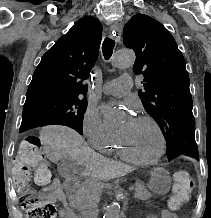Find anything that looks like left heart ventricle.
Listing matches in <instances>:
<instances>
[{
	"label": "left heart ventricle",
	"mask_w": 211,
	"mask_h": 218,
	"mask_svg": "<svg viewBox=\"0 0 211 218\" xmlns=\"http://www.w3.org/2000/svg\"><path fill=\"white\" fill-rule=\"evenodd\" d=\"M127 149L140 158H152L160 149V139L154 126L144 119L121 124L117 130Z\"/></svg>",
	"instance_id": "left-heart-ventricle-1"
}]
</instances>
